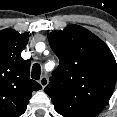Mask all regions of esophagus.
<instances>
[{"label": "esophagus", "instance_id": "34e87169", "mask_svg": "<svg viewBox=\"0 0 117 117\" xmlns=\"http://www.w3.org/2000/svg\"><path fill=\"white\" fill-rule=\"evenodd\" d=\"M39 83L42 86V88H45L48 84V78L46 76H42L39 80Z\"/></svg>", "mask_w": 117, "mask_h": 117}]
</instances>
